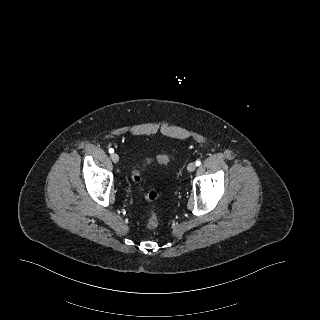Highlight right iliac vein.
Returning a JSON list of instances; mask_svg holds the SVG:
<instances>
[{
  "label": "right iliac vein",
  "instance_id": "1",
  "mask_svg": "<svg viewBox=\"0 0 320 320\" xmlns=\"http://www.w3.org/2000/svg\"><path fill=\"white\" fill-rule=\"evenodd\" d=\"M111 159L114 163H117L119 161V156L118 154L114 153L111 155Z\"/></svg>",
  "mask_w": 320,
  "mask_h": 320
}]
</instances>
